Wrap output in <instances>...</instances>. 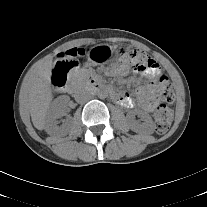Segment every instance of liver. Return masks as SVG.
Here are the masks:
<instances>
[{
    "label": "liver",
    "instance_id": "obj_1",
    "mask_svg": "<svg viewBox=\"0 0 207 207\" xmlns=\"http://www.w3.org/2000/svg\"><path fill=\"white\" fill-rule=\"evenodd\" d=\"M52 58L32 69L24 79L21 94L27 103L31 120L38 130L45 128V118L52 101L51 72Z\"/></svg>",
    "mask_w": 207,
    "mask_h": 207
}]
</instances>
